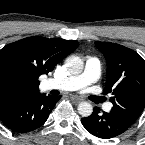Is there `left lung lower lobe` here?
Segmentation results:
<instances>
[{"instance_id": "0a47b994", "label": "left lung lower lobe", "mask_w": 145, "mask_h": 145, "mask_svg": "<svg viewBox=\"0 0 145 145\" xmlns=\"http://www.w3.org/2000/svg\"><path fill=\"white\" fill-rule=\"evenodd\" d=\"M82 125L92 135L109 139L124 133L130 125L117 115L109 112H100L98 107L94 108L89 117L81 119Z\"/></svg>"}]
</instances>
